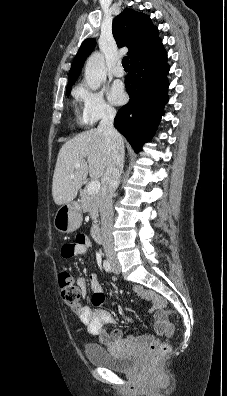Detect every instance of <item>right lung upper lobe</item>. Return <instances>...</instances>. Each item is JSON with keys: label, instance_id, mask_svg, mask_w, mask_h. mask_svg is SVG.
Returning a JSON list of instances; mask_svg holds the SVG:
<instances>
[{"label": "right lung upper lobe", "instance_id": "cb5924a9", "mask_svg": "<svg viewBox=\"0 0 227 396\" xmlns=\"http://www.w3.org/2000/svg\"><path fill=\"white\" fill-rule=\"evenodd\" d=\"M112 32L119 47L129 48L130 60L160 40L158 29L150 21V17L132 9H125L114 18ZM95 45V39H86L80 46L69 71L67 90H71V86L75 83L86 58Z\"/></svg>", "mask_w": 227, "mask_h": 396}]
</instances>
